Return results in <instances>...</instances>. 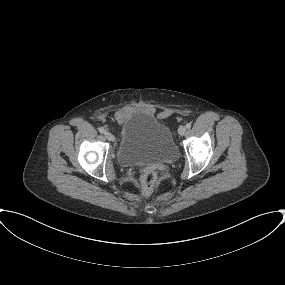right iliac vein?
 <instances>
[{
  "mask_svg": "<svg viewBox=\"0 0 285 285\" xmlns=\"http://www.w3.org/2000/svg\"><path fill=\"white\" fill-rule=\"evenodd\" d=\"M105 137L109 140V141H114V136L112 133L110 132H105Z\"/></svg>",
  "mask_w": 285,
  "mask_h": 285,
  "instance_id": "63e3f726",
  "label": "right iliac vein"
}]
</instances>
